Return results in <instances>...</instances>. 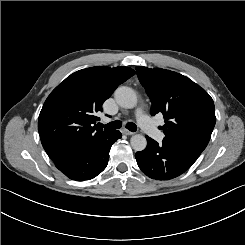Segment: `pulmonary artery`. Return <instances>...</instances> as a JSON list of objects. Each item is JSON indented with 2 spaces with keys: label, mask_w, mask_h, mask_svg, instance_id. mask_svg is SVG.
Segmentation results:
<instances>
[{
  "label": "pulmonary artery",
  "mask_w": 245,
  "mask_h": 245,
  "mask_svg": "<svg viewBox=\"0 0 245 245\" xmlns=\"http://www.w3.org/2000/svg\"><path fill=\"white\" fill-rule=\"evenodd\" d=\"M136 121L146 137L154 143H159L164 138V133L157 128L155 121L148 116V107L144 103H139L135 107Z\"/></svg>",
  "instance_id": "e3ab8cb5"
}]
</instances>
